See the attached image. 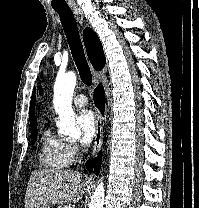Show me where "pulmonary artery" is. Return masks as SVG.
<instances>
[{
  "instance_id": "e3ab8cb5",
  "label": "pulmonary artery",
  "mask_w": 199,
  "mask_h": 208,
  "mask_svg": "<svg viewBox=\"0 0 199 208\" xmlns=\"http://www.w3.org/2000/svg\"><path fill=\"white\" fill-rule=\"evenodd\" d=\"M88 104V98L84 94H78L73 98L75 107H85Z\"/></svg>"
}]
</instances>
